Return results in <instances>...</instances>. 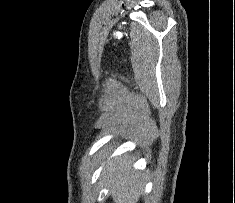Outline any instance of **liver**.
<instances>
[{"instance_id":"obj_1","label":"liver","mask_w":235,"mask_h":203,"mask_svg":"<svg viewBox=\"0 0 235 203\" xmlns=\"http://www.w3.org/2000/svg\"><path fill=\"white\" fill-rule=\"evenodd\" d=\"M128 156L119 157L108 163L101 175L114 203H137L142 193V184L135 172L131 171Z\"/></svg>"}]
</instances>
